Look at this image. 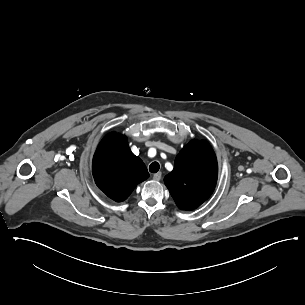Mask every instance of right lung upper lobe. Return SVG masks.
Segmentation results:
<instances>
[{
    "mask_svg": "<svg viewBox=\"0 0 305 305\" xmlns=\"http://www.w3.org/2000/svg\"><path fill=\"white\" fill-rule=\"evenodd\" d=\"M92 169L97 186L116 202L127 199L149 177L143 161L131 152L126 137L115 133L100 142Z\"/></svg>",
    "mask_w": 305,
    "mask_h": 305,
    "instance_id": "1",
    "label": "right lung upper lobe"
}]
</instances>
